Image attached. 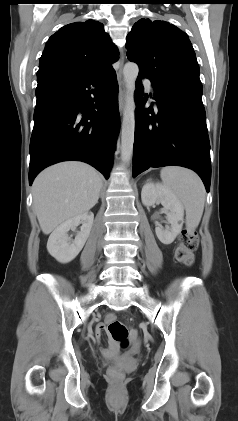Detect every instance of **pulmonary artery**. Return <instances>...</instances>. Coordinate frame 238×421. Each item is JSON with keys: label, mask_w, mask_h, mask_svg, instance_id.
<instances>
[{"label": "pulmonary artery", "mask_w": 238, "mask_h": 421, "mask_svg": "<svg viewBox=\"0 0 238 421\" xmlns=\"http://www.w3.org/2000/svg\"><path fill=\"white\" fill-rule=\"evenodd\" d=\"M143 84H144L145 88L147 89V91L149 93H151L152 95H154V89H153L151 81L148 80V79H144Z\"/></svg>", "instance_id": "pulmonary-artery-1"}]
</instances>
